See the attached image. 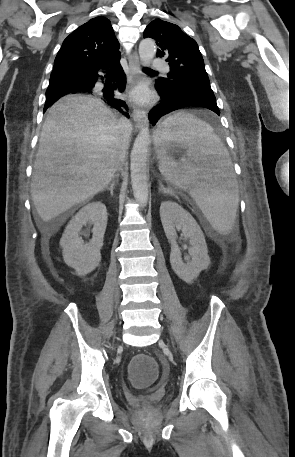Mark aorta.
Wrapping results in <instances>:
<instances>
[{
  "label": "aorta",
  "instance_id": "1",
  "mask_svg": "<svg viewBox=\"0 0 295 457\" xmlns=\"http://www.w3.org/2000/svg\"><path fill=\"white\" fill-rule=\"evenodd\" d=\"M156 54V44L152 39H143L139 44V57L147 66ZM150 143L148 127H144L137 135L131 151V184L135 199L144 207L148 202L147 153Z\"/></svg>",
  "mask_w": 295,
  "mask_h": 457
}]
</instances>
